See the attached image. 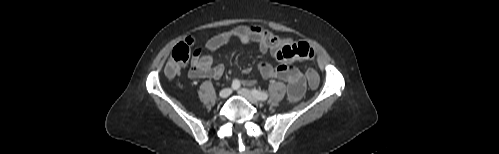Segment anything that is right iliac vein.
I'll return each instance as SVG.
<instances>
[{"label": "right iliac vein", "instance_id": "1", "mask_svg": "<svg viewBox=\"0 0 499 154\" xmlns=\"http://www.w3.org/2000/svg\"><path fill=\"white\" fill-rule=\"evenodd\" d=\"M231 89L230 88H224L220 91L219 96L221 98H227L231 94Z\"/></svg>", "mask_w": 499, "mask_h": 154}]
</instances>
